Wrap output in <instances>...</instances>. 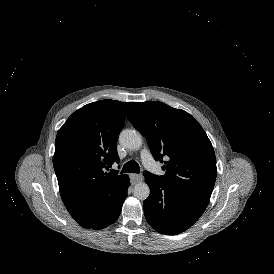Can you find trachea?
<instances>
[{
	"label": "trachea",
	"mask_w": 274,
	"mask_h": 274,
	"mask_svg": "<svg viewBox=\"0 0 274 274\" xmlns=\"http://www.w3.org/2000/svg\"><path fill=\"white\" fill-rule=\"evenodd\" d=\"M139 173V164L135 160H130L124 164L121 173Z\"/></svg>",
	"instance_id": "3493384b"
}]
</instances>
